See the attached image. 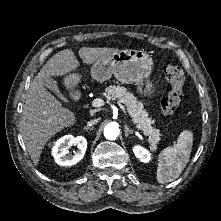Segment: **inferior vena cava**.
<instances>
[{
	"mask_svg": "<svg viewBox=\"0 0 221 221\" xmlns=\"http://www.w3.org/2000/svg\"><path fill=\"white\" fill-rule=\"evenodd\" d=\"M100 120V118L94 119V120H90L87 123V126H93L94 124H96L98 121Z\"/></svg>",
	"mask_w": 221,
	"mask_h": 221,
	"instance_id": "inferior-vena-cava-1",
	"label": "inferior vena cava"
}]
</instances>
